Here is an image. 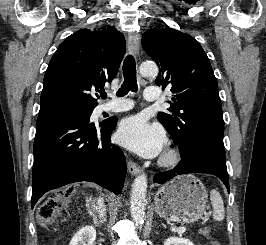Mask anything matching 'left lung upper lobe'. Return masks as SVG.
Wrapping results in <instances>:
<instances>
[{"instance_id": "left-lung-upper-lobe-1", "label": "left lung upper lobe", "mask_w": 266, "mask_h": 245, "mask_svg": "<svg viewBox=\"0 0 266 245\" xmlns=\"http://www.w3.org/2000/svg\"><path fill=\"white\" fill-rule=\"evenodd\" d=\"M144 51L159 66L156 84L172 86L170 113L160 112L180 153L188 151L191 140L200 135L223 139L224 121L218 84L210 61L199 42L172 28H155L142 37Z\"/></svg>"}]
</instances>
